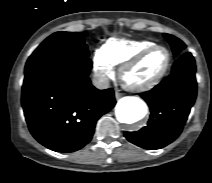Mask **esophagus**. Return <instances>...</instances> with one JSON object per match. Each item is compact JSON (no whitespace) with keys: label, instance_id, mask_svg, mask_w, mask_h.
Returning a JSON list of instances; mask_svg holds the SVG:
<instances>
[{"label":"esophagus","instance_id":"34e87169","mask_svg":"<svg viewBox=\"0 0 212 183\" xmlns=\"http://www.w3.org/2000/svg\"><path fill=\"white\" fill-rule=\"evenodd\" d=\"M121 96H122V94H121L119 91H116V92H115V98H116V99H120Z\"/></svg>","mask_w":212,"mask_h":183}]
</instances>
